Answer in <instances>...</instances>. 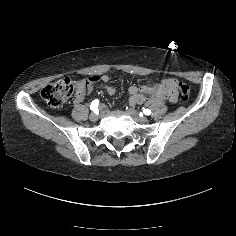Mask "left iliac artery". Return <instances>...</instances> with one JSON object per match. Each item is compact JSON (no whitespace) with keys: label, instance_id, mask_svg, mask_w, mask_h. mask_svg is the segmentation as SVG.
<instances>
[{"label":"left iliac artery","instance_id":"left-iliac-artery-1","mask_svg":"<svg viewBox=\"0 0 236 236\" xmlns=\"http://www.w3.org/2000/svg\"><path fill=\"white\" fill-rule=\"evenodd\" d=\"M143 113H144L145 115H150V114H151V110L143 108ZM140 114H141V113H140Z\"/></svg>","mask_w":236,"mask_h":236}]
</instances>
